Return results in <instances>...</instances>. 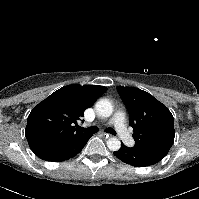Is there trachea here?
I'll use <instances>...</instances> for the list:
<instances>
[{
  "label": "trachea",
  "mask_w": 199,
  "mask_h": 199,
  "mask_svg": "<svg viewBox=\"0 0 199 199\" xmlns=\"http://www.w3.org/2000/svg\"><path fill=\"white\" fill-rule=\"evenodd\" d=\"M79 130L84 133L94 134V133L98 132V127H96V126H92V127H88V128L79 127ZM105 132L110 133L112 135H116L115 130L112 128L105 129Z\"/></svg>",
  "instance_id": "1"
}]
</instances>
